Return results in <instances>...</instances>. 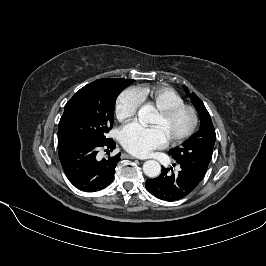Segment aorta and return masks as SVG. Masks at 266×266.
I'll use <instances>...</instances> for the list:
<instances>
[{
  "label": "aorta",
  "instance_id": "aorta-1",
  "mask_svg": "<svg viewBox=\"0 0 266 266\" xmlns=\"http://www.w3.org/2000/svg\"><path fill=\"white\" fill-rule=\"evenodd\" d=\"M139 122L143 125L152 122L153 108L150 105H144L138 111ZM143 172L146 176L154 178L160 175L161 166L155 160H148L143 164Z\"/></svg>",
  "mask_w": 266,
  "mask_h": 266
}]
</instances>
